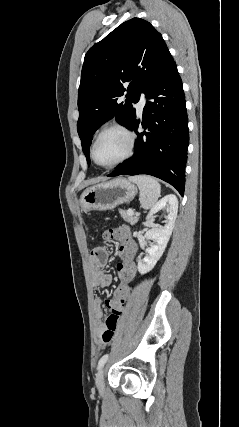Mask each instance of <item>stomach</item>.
I'll return each instance as SVG.
<instances>
[{
    "label": "stomach",
    "mask_w": 239,
    "mask_h": 427,
    "mask_svg": "<svg viewBox=\"0 0 239 427\" xmlns=\"http://www.w3.org/2000/svg\"><path fill=\"white\" fill-rule=\"evenodd\" d=\"M136 193L137 188L134 184L119 177L87 188L81 196V205L86 212L111 210L120 204L130 202Z\"/></svg>",
    "instance_id": "0dacf381"
}]
</instances>
